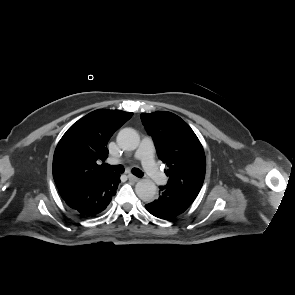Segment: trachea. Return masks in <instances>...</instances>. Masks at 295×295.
<instances>
[{"label": "trachea", "mask_w": 295, "mask_h": 295, "mask_svg": "<svg viewBox=\"0 0 295 295\" xmlns=\"http://www.w3.org/2000/svg\"><path fill=\"white\" fill-rule=\"evenodd\" d=\"M106 167L107 168H110V169H112V170H114L115 172H117V173H123L124 172V166H122V165H109V164H106ZM131 172L135 175V176H137V177H143V172L140 170V169H138V168H133L132 170H131Z\"/></svg>", "instance_id": "3493384b"}]
</instances>
